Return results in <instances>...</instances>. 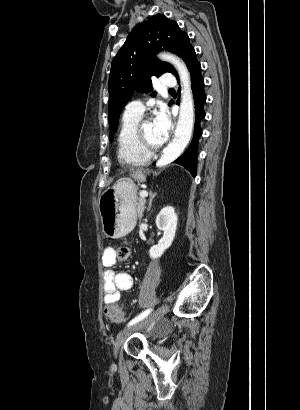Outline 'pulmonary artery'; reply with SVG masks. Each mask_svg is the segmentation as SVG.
<instances>
[{
	"mask_svg": "<svg viewBox=\"0 0 300 410\" xmlns=\"http://www.w3.org/2000/svg\"><path fill=\"white\" fill-rule=\"evenodd\" d=\"M163 87H175L176 79L171 74H163L161 77ZM126 111L142 114L144 111V106L140 100H134L127 104Z\"/></svg>",
	"mask_w": 300,
	"mask_h": 410,
	"instance_id": "obj_1",
	"label": "pulmonary artery"
}]
</instances>
